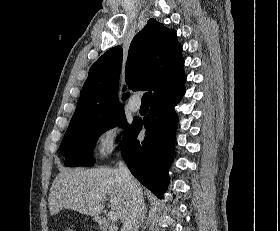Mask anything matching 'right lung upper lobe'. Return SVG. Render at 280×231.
Returning <instances> with one entry per match:
<instances>
[{
  "label": "right lung upper lobe",
  "instance_id": "cb5924a9",
  "mask_svg": "<svg viewBox=\"0 0 280 231\" xmlns=\"http://www.w3.org/2000/svg\"><path fill=\"white\" fill-rule=\"evenodd\" d=\"M181 51L176 32L150 19L129 48L125 72L129 88L153 90V100L182 86L186 75ZM121 64L122 47L116 46L92 65L70 123L123 111L117 94ZM127 97L129 93L124 94L123 100Z\"/></svg>",
  "mask_w": 280,
  "mask_h": 231
}]
</instances>
